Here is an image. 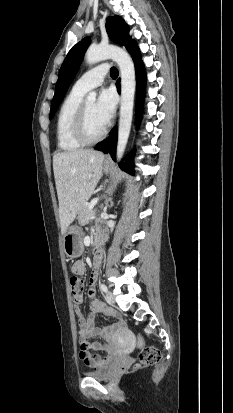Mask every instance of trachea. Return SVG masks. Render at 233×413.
Listing matches in <instances>:
<instances>
[{
    "mask_svg": "<svg viewBox=\"0 0 233 413\" xmlns=\"http://www.w3.org/2000/svg\"><path fill=\"white\" fill-rule=\"evenodd\" d=\"M110 75L112 77H117L118 76V70L115 67H112L110 70Z\"/></svg>",
    "mask_w": 233,
    "mask_h": 413,
    "instance_id": "3493384b",
    "label": "trachea"
}]
</instances>
